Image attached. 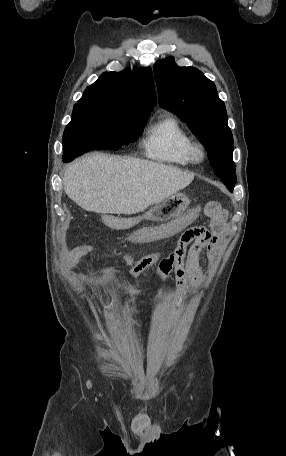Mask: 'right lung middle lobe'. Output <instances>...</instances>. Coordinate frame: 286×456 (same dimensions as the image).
<instances>
[{
	"label": "right lung middle lobe",
	"mask_w": 286,
	"mask_h": 456,
	"mask_svg": "<svg viewBox=\"0 0 286 456\" xmlns=\"http://www.w3.org/2000/svg\"><path fill=\"white\" fill-rule=\"evenodd\" d=\"M149 115L131 114L106 107L74 105L63 135V161L70 162L90 150H118L135 142Z\"/></svg>",
	"instance_id": "right-lung-middle-lobe-1"
}]
</instances>
